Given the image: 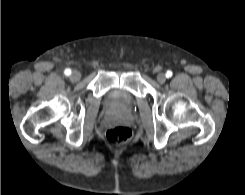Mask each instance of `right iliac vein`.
Here are the masks:
<instances>
[{"label": "right iliac vein", "instance_id": "63e3f726", "mask_svg": "<svg viewBox=\"0 0 245 195\" xmlns=\"http://www.w3.org/2000/svg\"><path fill=\"white\" fill-rule=\"evenodd\" d=\"M80 78H81V74H80V72H78V71H73L72 74H71V76H70V79H71L73 82L79 81Z\"/></svg>", "mask_w": 245, "mask_h": 195}]
</instances>
